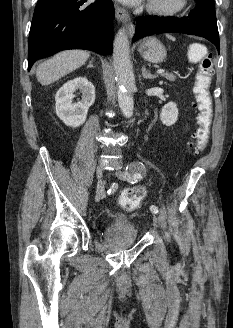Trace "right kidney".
<instances>
[{
    "instance_id": "ca27d5eb",
    "label": "right kidney",
    "mask_w": 233,
    "mask_h": 328,
    "mask_svg": "<svg viewBox=\"0 0 233 328\" xmlns=\"http://www.w3.org/2000/svg\"><path fill=\"white\" fill-rule=\"evenodd\" d=\"M80 90L82 100L72 103L74 92ZM55 107L57 116L73 128L82 125L87 117L88 109L95 102V88L86 77H77L67 81L56 93Z\"/></svg>"
}]
</instances>
